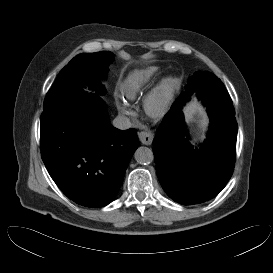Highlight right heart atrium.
<instances>
[{
	"label": "right heart atrium",
	"mask_w": 273,
	"mask_h": 273,
	"mask_svg": "<svg viewBox=\"0 0 273 273\" xmlns=\"http://www.w3.org/2000/svg\"><path fill=\"white\" fill-rule=\"evenodd\" d=\"M118 110L124 116H134L135 115L134 111L131 109L129 104H127L126 102L119 103Z\"/></svg>",
	"instance_id": "right-heart-atrium-1"
}]
</instances>
